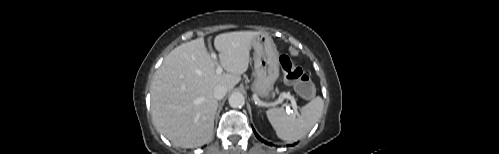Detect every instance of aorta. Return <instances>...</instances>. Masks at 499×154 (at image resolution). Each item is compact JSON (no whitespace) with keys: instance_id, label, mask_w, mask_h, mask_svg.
Segmentation results:
<instances>
[{"instance_id":"762f6f07","label":"aorta","mask_w":499,"mask_h":154,"mask_svg":"<svg viewBox=\"0 0 499 154\" xmlns=\"http://www.w3.org/2000/svg\"><path fill=\"white\" fill-rule=\"evenodd\" d=\"M228 102L232 108H240L244 105L245 98L242 93L234 92L230 95Z\"/></svg>"}]
</instances>
